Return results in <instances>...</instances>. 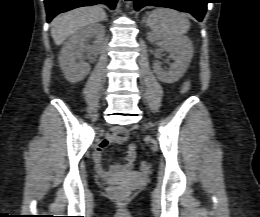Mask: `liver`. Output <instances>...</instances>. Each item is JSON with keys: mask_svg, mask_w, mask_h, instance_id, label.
I'll return each instance as SVG.
<instances>
[{"mask_svg": "<svg viewBox=\"0 0 260 217\" xmlns=\"http://www.w3.org/2000/svg\"><path fill=\"white\" fill-rule=\"evenodd\" d=\"M105 11L98 6L81 7L61 15L51 22V36L56 45H61L66 38L81 28L105 20Z\"/></svg>", "mask_w": 260, "mask_h": 217, "instance_id": "obj_1", "label": "liver"}]
</instances>
